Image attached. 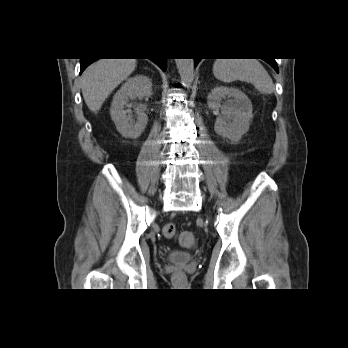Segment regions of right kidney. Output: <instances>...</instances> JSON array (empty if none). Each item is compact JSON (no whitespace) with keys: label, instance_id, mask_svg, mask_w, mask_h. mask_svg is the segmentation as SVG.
Listing matches in <instances>:
<instances>
[{"label":"right kidney","instance_id":"obj_1","mask_svg":"<svg viewBox=\"0 0 348 348\" xmlns=\"http://www.w3.org/2000/svg\"><path fill=\"white\" fill-rule=\"evenodd\" d=\"M151 95L152 83L144 75H136L127 79L114 95L110 115L118 132L125 138L140 137L148 122L147 115L142 111L138 112L136 122L131 119L132 105L128 103L129 99L134 100L136 97H150ZM126 107L128 109H125Z\"/></svg>","mask_w":348,"mask_h":348}]
</instances>
